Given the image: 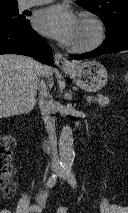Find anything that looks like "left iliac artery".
Returning <instances> with one entry per match:
<instances>
[{"mask_svg": "<svg viewBox=\"0 0 128 213\" xmlns=\"http://www.w3.org/2000/svg\"><path fill=\"white\" fill-rule=\"evenodd\" d=\"M65 169H66V175H67V179H68L69 184L72 187L75 188L76 185H77V181H76L75 175H74V173L72 171L71 164L66 165Z\"/></svg>", "mask_w": 128, "mask_h": 213, "instance_id": "obj_1", "label": "left iliac artery"}]
</instances>
